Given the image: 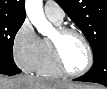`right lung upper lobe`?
<instances>
[{
  "mask_svg": "<svg viewBox=\"0 0 107 89\" xmlns=\"http://www.w3.org/2000/svg\"><path fill=\"white\" fill-rule=\"evenodd\" d=\"M0 17L25 20L24 0H0Z\"/></svg>",
  "mask_w": 107,
  "mask_h": 89,
  "instance_id": "obj_1",
  "label": "right lung upper lobe"
}]
</instances>
